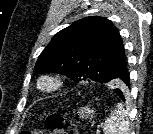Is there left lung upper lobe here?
Returning <instances> with one entry per match:
<instances>
[{
    "instance_id": "left-lung-upper-lobe-1",
    "label": "left lung upper lobe",
    "mask_w": 153,
    "mask_h": 134,
    "mask_svg": "<svg viewBox=\"0 0 153 134\" xmlns=\"http://www.w3.org/2000/svg\"><path fill=\"white\" fill-rule=\"evenodd\" d=\"M125 67L119 31L108 19L93 16L58 32L39 55L34 73L56 72L77 82L108 83L126 93L127 87L118 77Z\"/></svg>"
}]
</instances>
